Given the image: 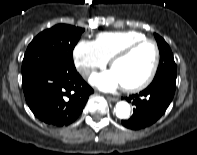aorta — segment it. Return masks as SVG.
Returning <instances> with one entry per match:
<instances>
[{
    "label": "aorta",
    "mask_w": 197,
    "mask_h": 155,
    "mask_svg": "<svg viewBox=\"0 0 197 155\" xmlns=\"http://www.w3.org/2000/svg\"><path fill=\"white\" fill-rule=\"evenodd\" d=\"M130 105L125 101H120L116 104L115 114L120 119H127L130 116Z\"/></svg>",
    "instance_id": "obj_1"
}]
</instances>
